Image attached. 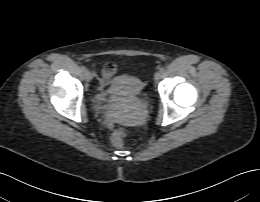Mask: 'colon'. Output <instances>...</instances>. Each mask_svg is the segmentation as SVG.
<instances>
[{
	"label": "colon",
	"instance_id": "5ec220e1",
	"mask_svg": "<svg viewBox=\"0 0 260 202\" xmlns=\"http://www.w3.org/2000/svg\"><path fill=\"white\" fill-rule=\"evenodd\" d=\"M114 72L115 66L112 63L106 64L102 69V74L106 77L113 75ZM126 136L127 132L125 129L119 128L118 130H116L111 137V143L113 147L117 149L123 148Z\"/></svg>",
	"mask_w": 260,
	"mask_h": 202
}]
</instances>
